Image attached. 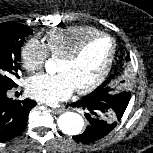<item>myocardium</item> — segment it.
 I'll use <instances>...</instances> for the list:
<instances>
[{"mask_svg": "<svg viewBox=\"0 0 153 153\" xmlns=\"http://www.w3.org/2000/svg\"><path fill=\"white\" fill-rule=\"evenodd\" d=\"M99 38H107L111 42V52L108 58V61L106 65L104 66L102 72L99 74V76L89 85L83 87V88H76L75 91L78 94L84 95L88 94L92 91H94L96 88H98L104 80L107 78L112 65L114 63L115 55H116V50H117V45L115 39L104 32H100L94 35H91L87 38H85L83 41H81L72 51L69 53L65 54L64 56L61 57V59L67 61V62H73L75 61L85 50V48L94 40L99 39Z\"/></svg>", "mask_w": 153, "mask_h": 153, "instance_id": "1", "label": "myocardium"}]
</instances>
